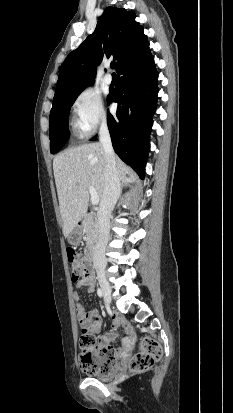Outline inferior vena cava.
Returning <instances> with one entry per match:
<instances>
[{
  "label": "inferior vena cava",
  "mask_w": 233,
  "mask_h": 413,
  "mask_svg": "<svg viewBox=\"0 0 233 413\" xmlns=\"http://www.w3.org/2000/svg\"><path fill=\"white\" fill-rule=\"evenodd\" d=\"M99 135L100 143L105 152L106 167L103 196L97 213L99 236L93 251V266L97 274H102L106 267L105 250L110 238V217L119 198L121 188L106 120L102 121Z\"/></svg>",
  "instance_id": "1"
}]
</instances>
